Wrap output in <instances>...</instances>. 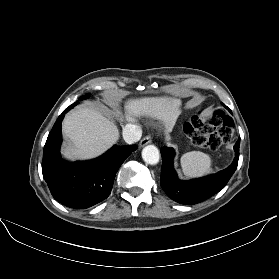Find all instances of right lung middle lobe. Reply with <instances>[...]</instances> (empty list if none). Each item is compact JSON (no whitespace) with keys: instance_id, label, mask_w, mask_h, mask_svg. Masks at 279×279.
Returning a JSON list of instances; mask_svg holds the SVG:
<instances>
[{"instance_id":"1","label":"right lung middle lobe","mask_w":279,"mask_h":279,"mask_svg":"<svg viewBox=\"0 0 279 279\" xmlns=\"http://www.w3.org/2000/svg\"><path fill=\"white\" fill-rule=\"evenodd\" d=\"M88 96H89V95L87 94L86 96H83L82 99H84L85 97H88ZM78 103H79L78 101L75 102V103H73V104L70 105L67 109H68V110L72 109V108H73L74 106H76Z\"/></svg>"}]
</instances>
